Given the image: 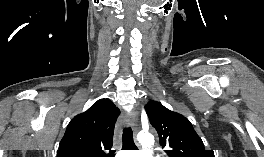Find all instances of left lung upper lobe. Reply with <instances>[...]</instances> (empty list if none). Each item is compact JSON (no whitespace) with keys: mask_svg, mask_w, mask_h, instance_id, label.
<instances>
[{"mask_svg":"<svg viewBox=\"0 0 264 157\" xmlns=\"http://www.w3.org/2000/svg\"><path fill=\"white\" fill-rule=\"evenodd\" d=\"M145 110L158 132L160 145L169 148L166 150L169 157H215L213 150H205L187 118L156 101H150Z\"/></svg>","mask_w":264,"mask_h":157,"instance_id":"left-lung-upper-lobe-1","label":"left lung upper lobe"}]
</instances>
